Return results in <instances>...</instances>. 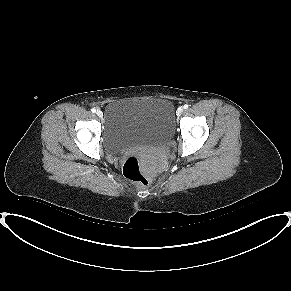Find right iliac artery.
<instances>
[{"instance_id": "82829eb1", "label": "right iliac artery", "mask_w": 291, "mask_h": 291, "mask_svg": "<svg viewBox=\"0 0 291 291\" xmlns=\"http://www.w3.org/2000/svg\"><path fill=\"white\" fill-rule=\"evenodd\" d=\"M91 111H92L93 113H95V112H96V109H95V108H92Z\"/></svg>"}]
</instances>
